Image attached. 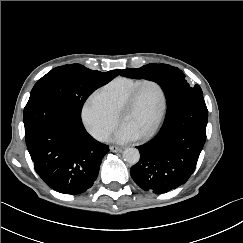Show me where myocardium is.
Instances as JSON below:
<instances>
[{
	"label": "myocardium",
	"mask_w": 243,
	"mask_h": 243,
	"mask_svg": "<svg viewBox=\"0 0 243 243\" xmlns=\"http://www.w3.org/2000/svg\"><path fill=\"white\" fill-rule=\"evenodd\" d=\"M148 83H153L159 88L160 93H161L162 102H161L160 111H159L154 123L147 131H145L144 133L139 135L140 138H146V137L152 135L155 132V130L158 128V126L160 125V123L165 115V112L167 109V94H166V91H165V88L163 87V85L156 79H143L131 91V93L125 100V102L122 104L120 111L118 113L119 120L122 122V117L124 116V114L126 112H128L134 106L139 90L141 89L142 86H144L145 84H148Z\"/></svg>",
	"instance_id": "1"
}]
</instances>
